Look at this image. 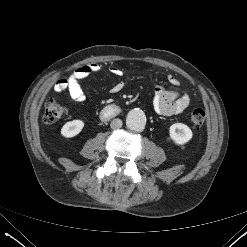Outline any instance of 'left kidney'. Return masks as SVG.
Instances as JSON below:
<instances>
[{
    "label": "left kidney",
    "mask_w": 247,
    "mask_h": 247,
    "mask_svg": "<svg viewBox=\"0 0 247 247\" xmlns=\"http://www.w3.org/2000/svg\"><path fill=\"white\" fill-rule=\"evenodd\" d=\"M170 138L177 145H184L189 142L193 136L191 129L183 123H175L169 128Z\"/></svg>",
    "instance_id": "obj_1"
}]
</instances>
